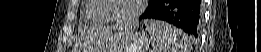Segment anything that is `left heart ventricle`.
Returning <instances> with one entry per match:
<instances>
[{
    "label": "left heart ventricle",
    "mask_w": 261,
    "mask_h": 52,
    "mask_svg": "<svg viewBox=\"0 0 261 52\" xmlns=\"http://www.w3.org/2000/svg\"><path fill=\"white\" fill-rule=\"evenodd\" d=\"M111 3L110 17L126 18L137 9L139 0H111Z\"/></svg>",
    "instance_id": "obj_1"
}]
</instances>
